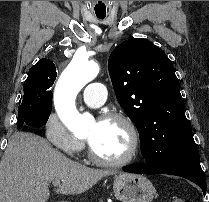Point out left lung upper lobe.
<instances>
[{
	"instance_id": "obj_1",
	"label": "left lung upper lobe",
	"mask_w": 209,
	"mask_h": 202,
	"mask_svg": "<svg viewBox=\"0 0 209 202\" xmlns=\"http://www.w3.org/2000/svg\"><path fill=\"white\" fill-rule=\"evenodd\" d=\"M108 70L146 162L166 163L195 144L174 66L162 49L147 39L126 40L110 54Z\"/></svg>"
}]
</instances>
